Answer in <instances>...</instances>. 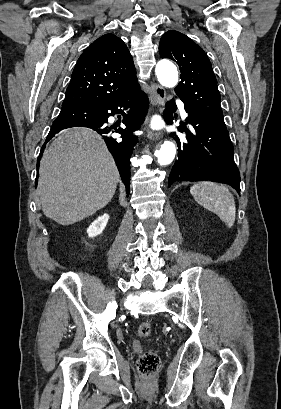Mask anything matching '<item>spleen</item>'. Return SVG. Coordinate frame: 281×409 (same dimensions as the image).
<instances>
[{"label": "spleen", "instance_id": "spleen-1", "mask_svg": "<svg viewBox=\"0 0 281 409\" xmlns=\"http://www.w3.org/2000/svg\"><path fill=\"white\" fill-rule=\"evenodd\" d=\"M190 192L198 205H202L204 209L215 213L229 229L233 227L236 219L235 200L227 186L219 184V182L203 180V182L193 184Z\"/></svg>", "mask_w": 281, "mask_h": 409}]
</instances>
